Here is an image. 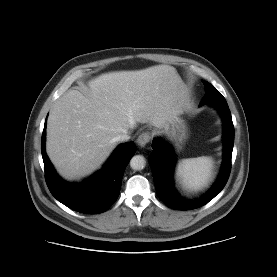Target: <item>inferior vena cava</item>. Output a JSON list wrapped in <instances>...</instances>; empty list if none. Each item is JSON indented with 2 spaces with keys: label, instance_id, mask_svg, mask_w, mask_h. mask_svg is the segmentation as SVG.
Instances as JSON below:
<instances>
[{
  "label": "inferior vena cava",
  "instance_id": "inferior-vena-cava-1",
  "mask_svg": "<svg viewBox=\"0 0 277 277\" xmlns=\"http://www.w3.org/2000/svg\"><path fill=\"white\" fill-rule=\"evenodd\" d=\"M129 139H130V136H129L128 132H124L122 134H119L115 138L116 141H127Z\"/></svg>",
  "mask_w": 277,
  "mask_h": 277
}]
</instances>
